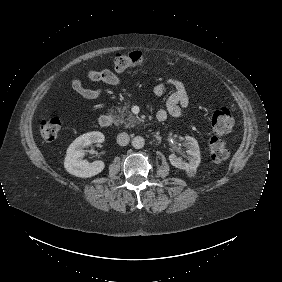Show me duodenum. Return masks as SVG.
<instances>
[{
	"label": "duodenum",
	"instance_id": "410a0bca",
	"mask_svg": "<svg viewBox=\"0 0 282 282\" xmlns=\"http://www.w3.org/2000/svg\"><path fill=\"white\" fill-rule=\"evenodd\" d=\"M113 123V118L111 115L109 114H103L100 118H99V125L103 128H108L112 125Z\"/></svg>",
	"mask_w": 282,
	"mask_h": 282
}]
</instances>
